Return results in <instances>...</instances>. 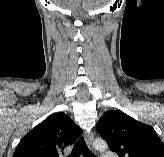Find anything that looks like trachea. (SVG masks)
Instances as JSON below:
<instances>
[{"instance_id": "trachea-1", "label": "trachea", "mask_w": 164, "mask_h": 157, "mask_svg": "<svg viewBox=\"0 0 164 157\" xmlns=\"http://www.w3.org/2000/svg\"><path fill=\"white\" fill-rule=\"evenodd\" d=\"M80 154L83 157H95V155L89 150L83 137H81L75 144L69 157H79Z\"/></svg>"}]
</instances>
